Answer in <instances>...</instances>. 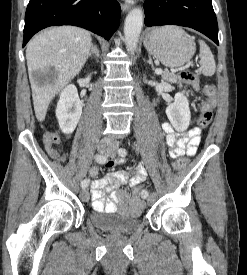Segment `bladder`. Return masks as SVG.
Segmentation results:
<instances>
[{
	"instance_id": "bladder-1",
	"label": "bladder",
	"mask_w": 247,
	"mask_h": 275,
	"mask_svg": "<svg viewBox=\"0 0 247 275\" xmlns=\"http://www.w3.org/2000/svg\"><path fill=\"white\" fill-rule=\"evenodd\" d=\"M90 221L96 227L106 231L129 233L139 226L140 214L127 215L119 212L96 211L90 215Z\"/></svg>"
}]
</instances>
